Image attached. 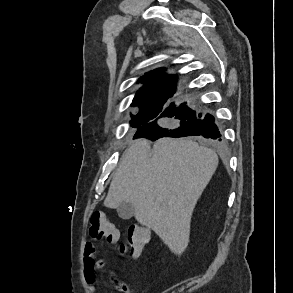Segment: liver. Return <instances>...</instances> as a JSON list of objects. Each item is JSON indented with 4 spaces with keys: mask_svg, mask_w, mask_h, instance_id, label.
<instances>
[{
    "mask_svg": "<svg viewBox=\"0 0 293 293\" xmlns=\"http://www.w3.org/2000/svg\"><path fill=\"white\" fill-rule=\"evenodd\" d=\"M217 165V154L191 139L161 138L152 149L149 140H135L122 155L104 205L132 204L135 219L181 255L193 210Z\"/></svg>",
    "mask_w": 293,
    "mask_h": 293,
    "instance_id": "liver-1",
    "label": "liver"
}]
</instances>
